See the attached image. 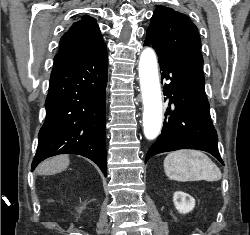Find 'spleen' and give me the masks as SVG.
Wrapping results in <instances>:
<instances>
[{"label": "spleen", "instance_id": "spleen-1", "mask_svg": "<svg viewBox=\"0 0 250 235\" xmlns=\"http://www.w3.org/2000/svg\"><path fill=\"white\" fill-rule=\"evenodd\" d=\"M166 175L179 182L218 181L222 174L217 165L205 154L196 150H179L164 160Z\"/></svg>", "mask_w": 250, "mask_h": 235}]
</instances>
